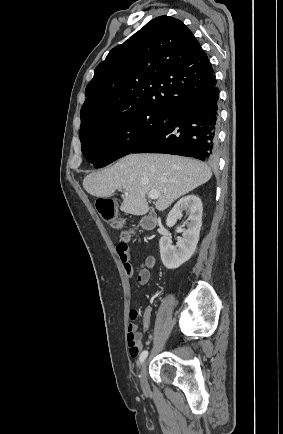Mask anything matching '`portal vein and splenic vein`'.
Instances as JSON below:
<instances>
[{"label":"portal vein and splenic vein","instance_id":"obj_1","mask_svg":"<svg viewBox=\"0 0 283 434\" xmlns=\"http://www.w3.org/2000/svg\"><path fill=\"white\" fill-rule=\"evenodd\" d=\"M159 196H160V193L157 190H152L148 193V197L150 199H153V200L158 199Z\"/></svg>","mask_w":283,"mask_h":434}]
</instances>
